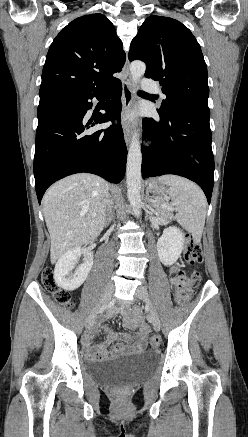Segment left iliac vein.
Listing matches in <instances>:
<instances>
[{
	"instance_id": "1",
	"label": "left iliac vein",
	"mask_w": 248,
	"mask_h": 437,
	"mask_svg": "<svg viewBox=\"0 0 248 437\" xmlns=\"http://www.w3.org/2000/svg\"><path fill=\"white\" fill-rule=\"evenodd\" d=\"M135 297L140 299V300L145 301L149 305V312L151 315V322H152L153 328L155 331H159L160 330V320H159V317L157 315V312H156L153 304L151 303L147 289L144 286H139L136 289Z\"/></svg>"
}]
</instances>
